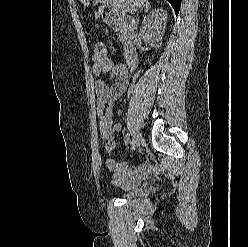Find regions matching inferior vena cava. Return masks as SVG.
I'll return each instance as SVG.
<instances>
[{
	"instance_id": "1",
	"label": "inferior vena cava",
	"mask_w": 248,
	"mask_h": 247,
	"mask_svg": "<svg viewBox=\"0 0 248 247\" xmlns=\"http://www.w3.org/2000/svg\"><path fill=\"white\" fill-rule=\"evenodd\" d=\"M130 12H131V14H133V12H132V11H130ZM129 19H130V20H133V18H132V17H130Z\"/></svg>"
}]
</instances>
